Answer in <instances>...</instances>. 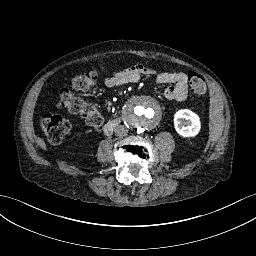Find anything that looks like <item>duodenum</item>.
<instances>
[{
  "label": "duodenum",
  "instance_id": "obj_1",
  "mask_svg": "<svg viewBox=\"0 0 256 256\" xmlns=\"http://www.w3.org/2000/svg\"><path fill=\"white\" fill-rule=\"evenodd\" d=\"M120 125H122V120L120 118L110 119L103 125V131L105 134L110 135L113 130Z\"/></svg>",
  "mask_w": 256,
  "mask_h": 256
}]
</instances>
